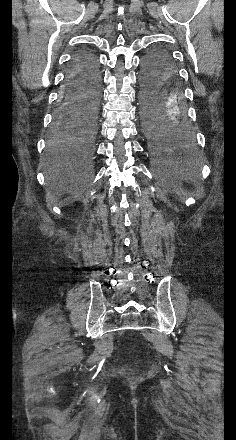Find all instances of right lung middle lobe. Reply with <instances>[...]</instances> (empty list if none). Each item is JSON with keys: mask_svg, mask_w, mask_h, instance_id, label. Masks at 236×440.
<instances>
[{"mask_svg": "<svg viewBox=\"0 0 236 440\" xmlns=\"http://www.w3.org/2000/svg\"><path fill=\"white\" fill-rule=\"evenodd\" d=\"M81 92V98L86 101V105L81 111L82 119L77 127L69 130H53L48 140L47 157L56 163L71 159H86L92 153L100 84L98 81L88 83Z\"/></svg>", "mask_w": 236, "mask_h": 440, "instance_id": "1", "label": "right lung middle lobe"}]
</instances>
